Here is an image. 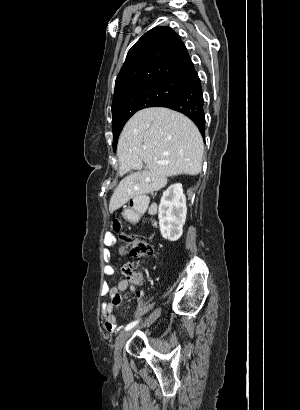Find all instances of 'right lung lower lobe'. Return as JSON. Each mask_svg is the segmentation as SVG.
I'll list each match as a JSON object with an SVG mask.
<instances>
[{"instance_id": "1", "label": "right lung lower lobe", "mask_w": 300, "mask_h": 410, "mask_svg": "<svg viewBox=\"0 0 300 410\" xmlns=\"http://www.w3.org/2000/svg\"><path fill=\"white\" fill-rule=\"evenodd\" d=\"M188 116L205 136L204 100L201 81L197 75L189 80L186 86L170 101L161 105Z\"/></svg>"}]
</instances>
